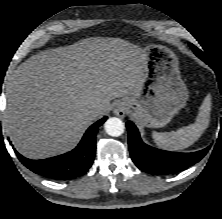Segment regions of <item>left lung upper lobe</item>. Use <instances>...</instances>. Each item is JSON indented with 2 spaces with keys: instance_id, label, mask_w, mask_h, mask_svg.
Segmentation results:
<instances>
[{
  "instance_id": "5c2ea615",
  "label": "left lung upper lobe",
  "mask_w": 222,
  "mask_h": 219,
  "mask_svg": "<svg viewBox=\"0 0 222 219\" xmlns=\"http://www.w3.org/2000/svg\"><path fill=\"white\" fill-rule=\"evenodd\" d=\"M190 47L192 48V47H193V45H192V44H190Z\"/></svg>"
}]
</instances>
